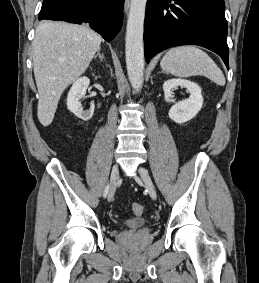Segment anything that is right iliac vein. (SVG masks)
Instances as JSON below:
<instances>
[{"instance_id":"obj_1","label":"right iliac vein","mask_w":259,"mask_h":283,"mask_svg":"<svg viewBox=\"0 0 259 283\" xmlns=\"http://www.w3.org/2000/svg\"><path fill=\"white\" fill-rule=\"evenodd\" d=\"M118 179H119V168H118V165L115 164L112 167L111 176H110L111 186H110L109 195H108L109 201H112L114 197Z\"/></svg>"}]
</instances>
